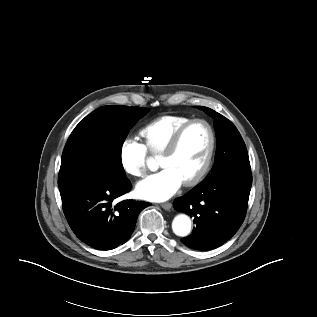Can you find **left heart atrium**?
I'll use <instances>...</instances> for the list:
<instances>
[{
  "mask_svg": "<svg viewBox=\"0 0 317 317\" xmlns=\"http://www.w3.org/2000/svg\"><path fill=\"white\" fill-rule=\"evenodd\" d=\"M183 180L171 168L165 167L137 184V194L149 201H164L174 195Z\"/></svg>",
  "mask_w": 317,
  "mask_h": 317,
  "instance_id": "39dd6f15",
  "label": "left heart atrium"
}]
</instances>
